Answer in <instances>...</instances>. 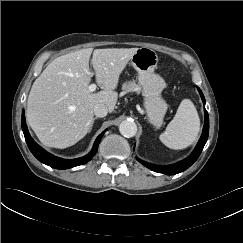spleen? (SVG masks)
Wrapping results in <instances>:
<instances>
[{
    "instance_id": "1",
    "label": "spleen",
    "mask_w": 243,
    "mask_h": 243,
    "mask_svg": "<svg viewBox=\"0 0 243 243\" xmlns=\"http://www.w3.org/2000/svg\"><path fill=\"white\" fill-rule=\"evenodd\" d=\"M199 131L200 119L197 110L191 100L183 99L173 120L159 138L168 148L181 150L195 142Z\"/></svg>"
}]
</instances>
